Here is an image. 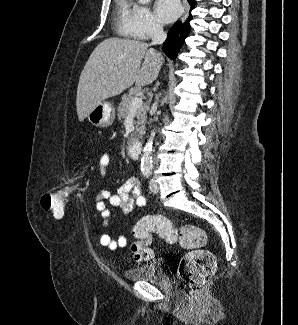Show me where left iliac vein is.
Segmentation results:
<instances>
[{
	"instance_id": "obj_1",
	"label": "left iliac vein",
	"mask_w": 298,
	"mask_h": 325,
	"mask_svg": "<svg viewBox=\"0 0 298 325\" xmlns=\"http://www.w3.org/2000/svg\"><path fill=\"white\" fill-rule=\"evenodd\" d=\"M158 190H159V189H158V185H157L155 179L152 178V179L150 180V191H151L153 194H156V193H158Z\"/></svg>"
}]
</instances>
